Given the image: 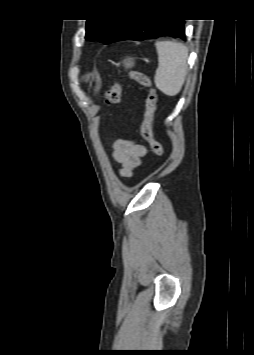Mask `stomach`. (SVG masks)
Masks as SVG:
<instances>
[{"label": "stomach", "instance_id": "1", "mask_svg": "<svg viewBox=\"0 0 254 355\" xmlns=\"http://www.w3.org/2000/svg\"><path fill=\"white\" fill-rule=\"evenodd\" d=\"M123 65L126 69L133 67L134 66V59L131 57H127L124 60Z\"/></svg>", "mask_w": 254, "mask_h": 355}]
</instances>
